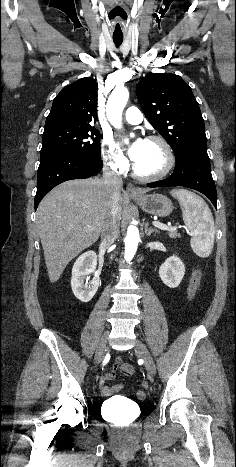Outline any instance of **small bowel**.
Masks as SVG:
<instances>
[{"label": "small bowel", "mask_w": 236, "mask_h": 467, "mask_svg": "<svg viewBox=\"0 0 236 467\" xmlns=\"http://www.w3.org/2000/svg\"><path fill=\"white\" fill-rule=\"evenodd\" d=\"M120 370L124 377H131L134 374V368L131 364L125 363L121 358L117 357L110 369L109 372L102 375L100 378V389L103 396H110L114 392H118L123 388V383H118L112 386H109L108 383L111 382L115 373Z\"/></svg>", "instance_id": "1"}]
</instances>
